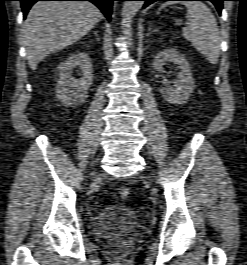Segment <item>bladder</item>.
Segmentation results:
<instances>
[{"label":"bladder","mask_w":247,"mask_h":265,"mask_svg":"<svg viewBox=\"0 0 247 265\" xmlns=\"http://www.w3.org/2000/svg\"><path fill=\"white\" fill-rule=\"evenodd\" d=\"M139 215L124 206L104 208L94 222V232L101 237H113L124 234L137 226Z\"/></svg>","instance_id":"1"}]
</instances>
